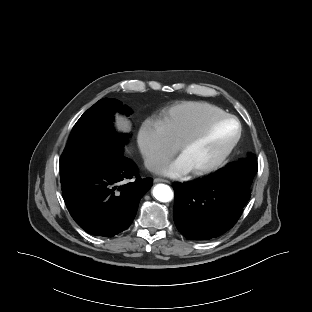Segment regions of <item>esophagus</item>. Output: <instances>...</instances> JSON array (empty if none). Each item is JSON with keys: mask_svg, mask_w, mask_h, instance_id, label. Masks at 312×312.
<instances>
[{"mask_svg": "<svg viewBox=\"0 0 312 312\" xmlns=\"http://www.w3.org/2000/svg\"><path fill=\"white\" fill-rule=\"evenodd\" d=\"M154 182H155V183L164 182V183H168V184L170 183L169 180L162 179V178H155V179H154Z\"/></svg>", "mask_w": 312, "mask_h": 312, "instance_id": "34e87169", "label": "esophagus"}]
</instances>
